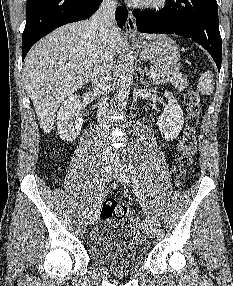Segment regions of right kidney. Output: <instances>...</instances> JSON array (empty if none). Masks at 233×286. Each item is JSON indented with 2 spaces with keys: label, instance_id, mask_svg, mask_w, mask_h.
<instances>
[{
  "label": "right kidney",
  "instance_id": "right-kidney-1",
  "mask_svg": "<svg viewBox=\"0 0 233 286\" xmlns=\"http://www.w3.org/2000/svg\"><path fill=\"white\" fill-rule=\"evenodd\" d=\"M81 109L77 95L71 94L63 101L57 113L58 133L62 140L72 142L77 138L83 124Z\"/></svg>",
  "mask_w": 233,
  "mask_h": 286
}]
</instances>
